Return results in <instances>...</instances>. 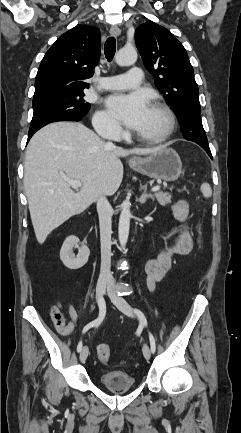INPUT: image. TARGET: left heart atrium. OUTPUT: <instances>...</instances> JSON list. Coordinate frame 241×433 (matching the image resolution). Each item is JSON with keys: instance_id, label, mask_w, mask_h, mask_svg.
I'll list each match as a JSON object with an SVG mask.
<instances>
[{"instance_id": "39dd6f15", "label": "left heart atrium", "mask_w": 241, "mask_h": 433, "mask_svg": "<svg viewBox=\"0 0 241 433\" xmlns=\"http://www.w3.org/2000/svg\"><path fill=\"white\" fill-rule=\"evenodd\" d=\"M109 112L132 130H138L145 122L150 103L145 94H113L106 100Z\"/></svg>"}]
</instances>
